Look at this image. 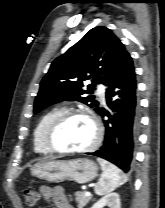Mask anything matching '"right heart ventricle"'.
I'll list each match as a JSON object with an SVG mask.
<instances>
[{"instance_id": "e07e8e85", "label": "right heart ventricle", "mask_w": 165, "mask_h": 208, "mask_svg": "<svg viewBox=\"0 0 165 208\" xmlns=\"http://www.w3.org/2000/svg\"><path fill=\"white\" fill-rule=\"evenodd\" d=\"M64 111L63 107H54L41 116L33 132V149L38 154L52 153L45 144L44 135L49 124Z\"/></svg>"}]
</instances>
